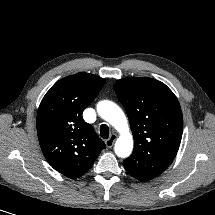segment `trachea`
<instances>
[{
  "instance_id": "obj_1",
  "label": "trachea",
  "mask_w": 215,
  "mask_h": 215,
  "mask_svg": "<svg viewBox=\"0 0 215 215\" xmlns=\"http://www.w3.org/2000/svg\"><path fill=\"white\" fill-rule=\"evenodd\" d=\"M100 135L104 139H108L109 136V127L106 124L100 126Z\"/></svg>"
}]
</instances>
